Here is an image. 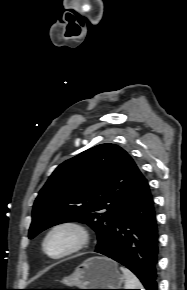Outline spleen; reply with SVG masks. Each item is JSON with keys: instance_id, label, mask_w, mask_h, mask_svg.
Returning a JSON list of instances; mask_svg holds the SVG:
<instances>
[{"instance_id": "spleen-1", "label": "spleen", "mask_w": 187, "mask_h": 290, "mask_svg": "<svg viewBox=\"0 0 187 290\" xmlns=\"http://www.w3.org/2000/svg\"><path fill=\"white\" fill-rule=\"evenodd\" d=\"M125 277V289H143L139 279L127 268L120 267Z\"/></svg>"}]
</instances>
